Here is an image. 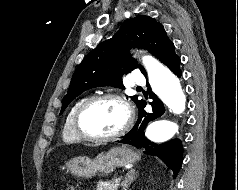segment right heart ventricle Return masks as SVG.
Returning <instances> with one entry per match:
<instances>
[{"mask_svg":"<svg viewBox=\"0 0 238 190\" xmlns=\"http://www.w3.org/2000/svg\"><path fill=\"white\" fill-rule=\"evenodd\" d=\"M86 97H82L78 99L71 109L69 110L63 129H62V138L67 143H74L81 140V138L77 135L75 128H74V116L79 108V106L86 100Z\"/></svg>","mask_w":238,"mask_h":190,"instance_id":"obj_1","label":"right heart ventricle"}]
</instances>
